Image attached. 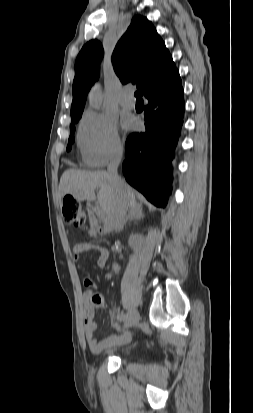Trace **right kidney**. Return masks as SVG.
Masks as SVG:
<instances>
[{"instance_id": "1", "label": "right kidney", "mask_w": 253, "mask_h": 413, "mask_svg": "<svg viewBox=\"0 0 253 413\" xmlns=\"http://www.w3.org/2000/svg\"><path fill=\"white\" fill-rule=\"evenodd\" d=\"M128 243L136 251H139L142 248L143 238L140 234H131ZM113 270L115 271V273H118L120 266L118 264H113Z\"/></svg>"}]
</instances>
